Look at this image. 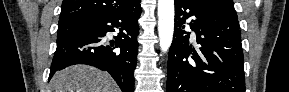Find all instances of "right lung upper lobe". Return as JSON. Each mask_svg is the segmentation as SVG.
Returning <instances> with one entry per match:
<instances>
[{
  "label": "right lung upper lobe",
  "mask_w": 289,
  "mask_h": 92,
  "mask_svg": "<svg viewBox=\"0 0 289 92\" xmlns=\"http://www.w3.org/2000/svg\"><path fill=\"white\" fill-rule=\"evenodd\" d=\"M136 0H63L59 25L87 23L132 5Z\"/></svg>",
  "instance_id": "1"
}]
</instances>
